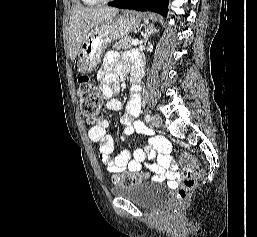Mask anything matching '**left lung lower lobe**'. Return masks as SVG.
Returning <instances> with one entry per match:
<instances>
[{
  "label": "left lung lower lobe",
  "instance_id": "0a47b994",
  "mask_svg": "<svg viewBox=\"0 0 257 237\" xmlns=\"http://www.w3.org/2000/svg\"><path fill=\"white\" fill-rule=\"evenodd\" d=\"M109 6L134 9L138 11H153L166 17L168 12V0H118L108 3Z\"/></svg>",
  "mask_w": 257,
  "mask_h": 237
}]
</instances>
